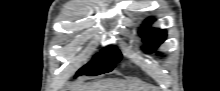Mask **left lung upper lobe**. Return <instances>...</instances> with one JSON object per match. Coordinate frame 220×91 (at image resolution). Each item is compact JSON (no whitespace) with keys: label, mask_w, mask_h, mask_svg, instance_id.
Wrapping results in <instances>:
<instances>
[{"label":"left lung upper lobe","mask_w":220,"mask_h":91,"mask_svg":"<svg viewBox=\"0 0 220 91\" xmlns=\"http://www.w3.org/2000/svg\"><path fill=\"white\" fill-rule=\"evenodd\" d=\"M152 18L146 20L145 24H150ZM140 35L143 37V41L149 47L148 52H154L155 49L166 39V31L162 29L154 28H141Z\"/></svg>","instance_id":"obj_1"}]
</instances>
